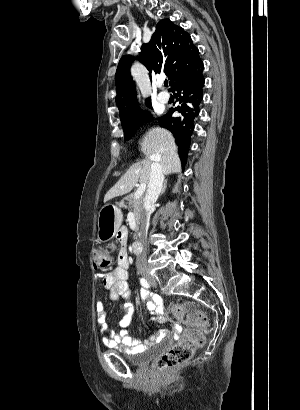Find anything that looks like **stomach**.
<instances>
[{"instance_id": "0dacf381", "label": "stomach", "mask_w": 300, "mask_h": 410, "mask_svg": "<svg viewBox=\"0 0 300 410\" xmlns=\"http://www.w3.org/2000/svg\"><path fill=\"white\" fill-rule=\"evenodd\" d=\"M123 215L121 209L116 205H104L98 217V240L106 241L115 236L121 223Z\"/></svg>"}]
</instances>
